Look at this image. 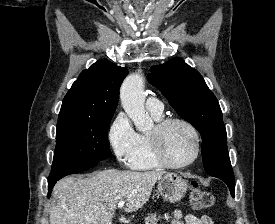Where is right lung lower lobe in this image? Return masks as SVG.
Masks as SVG:
<instances>
[{"mask_svg": "<svg viewBox=\"0 0 275 224\" xmlns=\"http://www.w3.org/2000/svg\"><path fill=\"white\" fill-rule=\"evenodd\" d=\"M91 167H92V166H91ZM89 168H90V167L85 168V169H80V170H77V171H75L74 173H71V174L80 173V172L85 171V170H87V169H89ZM68 175H69V174H68ZM61 178H62V177H61ZM61 178L48 180V197L50 196V193H51L52 188H53V186L55 185V183H56L59 179H61Z\"/></svg>", "mask_w": 275, "mask_h": 224, "instance_id": "obj_1", "label": "right lung lower lobe"}]
</instances>
